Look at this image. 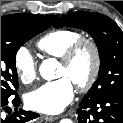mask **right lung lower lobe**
I'll return each instance as SVG.
<instances>
[{
  "label": "right lung lower lobe",
  "instance_id": "98d812e1",
  "mask_svg": "<svg viewBox=\"0 0 123 123\" xmlns=\"http://www.w3.org/2000/svg\"><path fill=\"white\" fill-rule=\"evenodd\" d=\"M10 102H12L14 107H18L20 104L19 96L15 95L9 98L1 97V123H25L27 121L39 117L37 113L24 111L22 109H19L18 111L17 108H15L16 112L12 114H10L11 112H9V115L5 116L3 114V110L7 111V109H9L7 105Z\"/></svg>",
  "mask_w": 123,
  "mask_h": 123
}]
</instances>
